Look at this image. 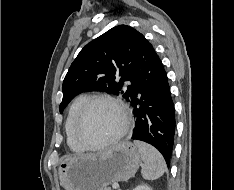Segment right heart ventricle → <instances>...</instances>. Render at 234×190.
<instances>
[{
  "instance_id": "obj_1",
  "label": "right heart ventricle",
  "mask_w": 234,
  "mask_h": 190,
  "mask_svg": "<svg viewBox=\"0 0 234 190\" xmlns=\"http://www.w3.org/2000/svg\"><path fill=\"white\" fill-rule=\"evenodd\" d=\"M86 99V96H80L72 103L65 121V134L67 138V143L70 149L75 152L84 151V148L77 142V140L74 137V124L77 114Z\"/></svg>"
}]
</instances>
